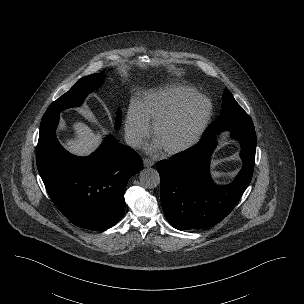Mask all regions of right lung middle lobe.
I'll return each instance as SVG.
<instances>
[{
	"instance_id": "1",
	"label": "right lung middle lobe",
	"mask_w": 304,
	"mask_h": 304,
	"mask_svg": "<svg viewBox=\"0 0 304 304\" xmlns=\"http://www.w3.org/2000/svg\"><path fill=\"white\" fill-rule=\"evenodd\" d=\"M103 72L92 74L79 80L68 92L54 101L44 115L60 112L66 108L79 106L83 103L87 94L102 84ZM121 123V112L118 113L116 125L119 128Z\"/></svg>"
}]
</instances>
